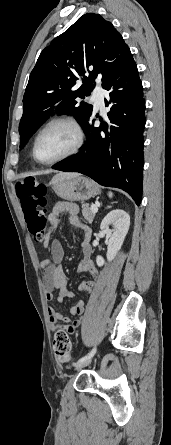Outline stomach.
<instances>
[{"label": "stomach", "instance_id": "stomach-1", "mask_svg": "<svg viewBox=\"0 0 171 445\" xmlns=\"http://www.w3.org/2000/svg\"><path fill=\"white\" fill-rule=\"evenodd\" d=\"M52 188L56 195L68 201H85L100 194L98 185L92 180L80 176H55Z\"/></svg>", "mask_w": 171, "mask_h": 445}]
</instances>
